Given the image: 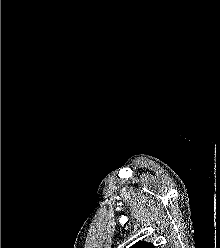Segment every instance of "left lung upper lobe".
<instances>
[{"mask_svg": "<svg viewBox=\"0 0 220 248\" xmlns=\"http://www.w3.org/2000/svg\"><path fill=\"white\" fill-rule=\"evenodd\" d=\"M130 248H155V246L152 243L140 241L132 245Z\"/></svg>", "mask_w": 220, "mask_h": 248, "instance_id": "1", "label": "left lung upper lobe"}]
</instances>
